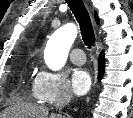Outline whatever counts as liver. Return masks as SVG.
Returning <instances> with one entry per match:
<instances>
[{
    "mask_svg": "<svg viewBox=\"0 0 133 118\" xmlns=\"http://www.w3.org/2000/svg\"><path fill=\"white\" fill-rule=\"evenodd\" d=\"M2 118H59L52 114L44 106L30 104H17L4 110Z\"/></svg>",
    "mask_w": 133,
    "mask_h": 118,
    "instance_id": "1",
    "label": "liver"
}]
</instances>
